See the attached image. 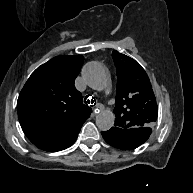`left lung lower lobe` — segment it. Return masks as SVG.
<instances>
[{"label":"left lung lower lobe","instance_id":"obj_1","mask_svg":"<svg viewBox=\"0 0 193 193\" xmlns=\"http://www.w3.org/2000/svg\"><path fill=\"white\" fill-rule=\"evenodd\" d=\"M150 128L139 129L136 132H127V130L112 127L106 132H102L105 141L122 150H130L139 147L149 138Z\"/></svg>","mask_w":193,"mask_h":193}]
</instances>
